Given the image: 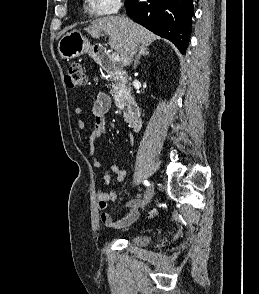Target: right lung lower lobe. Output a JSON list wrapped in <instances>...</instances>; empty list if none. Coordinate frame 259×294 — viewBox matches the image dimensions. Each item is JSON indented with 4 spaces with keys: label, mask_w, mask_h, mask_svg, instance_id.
I'll return each mask as SVG.
<instances>
[{
    "label": "right lung lower lobe",
    "mask_w": 259,
    "mask_h": 294,
    "mask_svg": "<svg viewBox=\"0 0 259 294\" xmlns=\"http://www.w3.org/2000/svg\"><path fill=\"white\" fill-rule=\"evenodd\" d=\"M127 14L153 33L169 39L184 54L191 34L193 0H126Z\"/></svg>",
    "instance_id": "1"
}]
</instances>
